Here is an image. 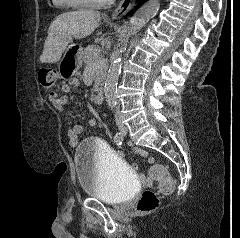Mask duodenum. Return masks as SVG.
I'll return each instance as SVG.
<instances>
[{
  "mask_svg": "<svg viewBox=\"0 0 240 238\" xmlns=\"http://www.w3.org/2000/svg\"><path fill=\"white\" fill-rule=\"evenodd\" d=\"M103 100H104V91L102 88H100L94 97V102L96 104H101Z\"/></svg>",
  "mask_w": 240,
  "mask_h": 238,
  "instance_id": "410a0bca",
  "label": "duodenum"
}]
</instances>
